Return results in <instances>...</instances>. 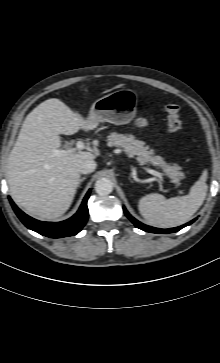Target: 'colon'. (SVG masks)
Wrapping results in <instances>:
<instances>
[{
  "label": "colon",
  "instance_id": "5ec220e1",
  "mask_svg": "<svg viewBox=\"0 0 220 363\" xmlns=\"http://www.w3.org/2000/svg\"><path fill=\"white\" fill-rule=\"evenodd\" d=\"M166 114L169 130L177 133L182 129V121L180 119V107L178 104L169 103L166 105Z\"/></svg>",
  "mask_w": 220,
  "mask_h": 363
}]
</instances>
